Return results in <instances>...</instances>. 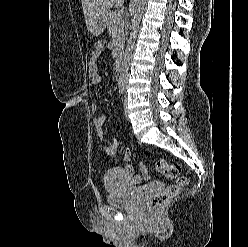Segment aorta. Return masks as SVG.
Masks as SVG:
<instances>
[{
    "instance_id": "aorta-1",
    "label": "aorta",
    "mask_w": 248,
    "mask_h": 247,
    "mask_svg": "<svg viewBox=\"0 0 248 247\" xmlns=\"http://www.w3.org/2000/svg\"><path fill=\"white\" fill-rule=\"evenodd\" d=\"M133 19L131 25V32L126 40V50L123 56V61L121 65V72L119 75L118 84L121 87L126 86L129 76V66L131 60V54L135 47V39L139 29V24L143 15V11L146 5V0H133Z\"/></svg>"
}]
</instances>
